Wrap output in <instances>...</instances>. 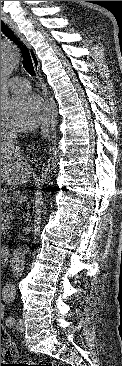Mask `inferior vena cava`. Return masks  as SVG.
Here are the masks:
<instances>
[{"instance_id":"inferior-vena-cava-1","label":"inferior vena cava","mask_w":122,"mask_h":366,"mask_svg":"<svg viewBox=\"0 0 122 366\" xmlns=\"http://www.w3.org/2000/svg\"><path fill=\"white\" fill-rule=\"evenodd\" d=\"M16 138H17V133H15V132L6 133L3 136V140L6 141V145L9 148H13V149H18L19 148L17 146ZM23 258H24L23 250L18 245V247L13 251L12 264H17L20 261L22 262Z\"/></svg>"}]
</instances>
